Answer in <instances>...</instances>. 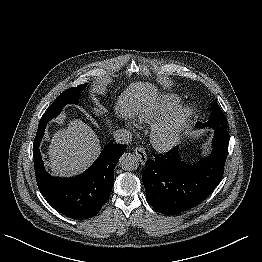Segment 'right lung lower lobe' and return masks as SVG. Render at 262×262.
<instances>
[{"label": "right lung lower lobe", "mask_w": 262, "mask_h": 262, "mask_svg": "<svg viewBox=\"0 0 262 262\" xmlns=\"http://www.w3.org/2000/svg\"><path fill=\"white\" fill-rule=\"evenodd\" d=\"M50 119H41L33 144L36 180L41 194L56 210L74 219L95 216L109 198L114 183V168L127 148L107 144L94 164L73 178H55L44 169L39 151L45 127Z\"/></svg>", "instance_id": "98d812e1"}]
</instances>
